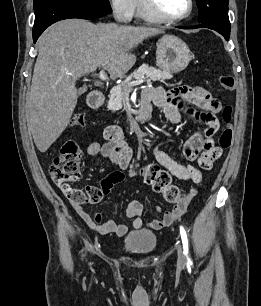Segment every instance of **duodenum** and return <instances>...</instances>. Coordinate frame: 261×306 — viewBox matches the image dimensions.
Wrapping results in <instances>:
<instances>
[{"label":"duodenum","mask_w":261,"mask_h":306,"mask_svg":"<svg viewBox=\"0 0 261 306\" xmlns=\"http://www.w3.org/2000/svg\"><path fill=\"white\" fill-rule=\"evenodd\" d=\"M105 99V94L103 91L96 90L89 94L87 98V103L91 108L100 107ZM151 114V106L142 100L138 110L136 111L133 119L131 120L132 125H136L144 120H146Z\"/></svg>","instance_id":"1"}]
</instances>
